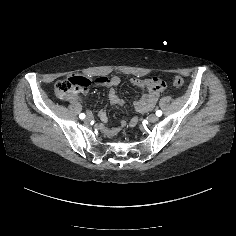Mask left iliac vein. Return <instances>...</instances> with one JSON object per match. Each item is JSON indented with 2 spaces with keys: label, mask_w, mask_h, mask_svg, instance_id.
<instances>
[{
  "label": "left iliac vein",
  "mask_w": 236,
  "mask_h": 236,
  "mask_svg": "<svg viewBox=\"0 0 236 236\" xmlns=\"http://www.w3.org/2000/svg\"><path fill=\"white\" fill-rule=\"evenodd\" d=\"M148 120L152 123H155L159 120V117L155 114H151L149 117H148Z\"/></svg>",
  "instance_id": "4c4485c4"
}]
</instances>
